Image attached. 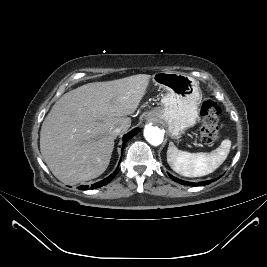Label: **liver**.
<instances>
[{
    "label": "liver",
    "mask_w": 267,
    "mask_h": 267,
    "mask_svg": "<svg viewBox=\"0 0 267 267\" xmlns=\"http://www.w3.org/2000/svg\"><path fill=\"white\" fill-rule=\"evenodd\" d=\"M151 76L138 74L93 82L65 93L43 121L40 151L53 175L65 184L100 176L114 148V126L131 124ZM125 132V131H124Z\"/></svg>",
    "instance_id": "liver-1"
}]
</instances>
